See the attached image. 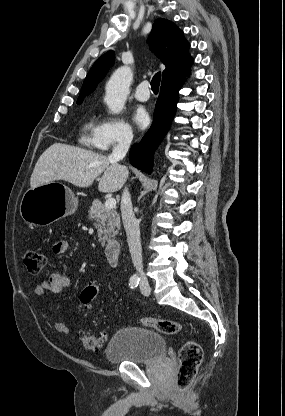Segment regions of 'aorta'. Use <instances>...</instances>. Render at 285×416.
<instances>
[{
    "label": "aorta",
    "instance_id": "obj_1",
    "mask_svg": "<svg viewBox=\"0 0 285 416\" xmlns=\"http://www.w3.org/2000/svg\"><path fill=\"white\" fill-rule=\"evenodd\" d=\"M133 78L129 67L118 68L106 85L105 102L112 113H120L125 106Z\"/></svg>",
    "mask_w": 285,
    "mask_h": 416
}]
</instances>
